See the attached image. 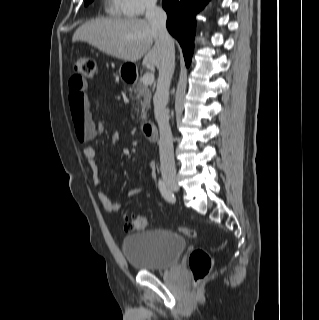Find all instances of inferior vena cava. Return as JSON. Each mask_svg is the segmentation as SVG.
I'll use <instances>...</instances> for the list:
<instances>
[{
    "label": "inferior vena cava",
    "instance_id": "inferior-vena-cava-1",
    "mask_svg": "<svg viewBox=\"0 0 319 320\" xmlns=\"http://www.w3.org/2000/svg\"><path fill=\"white\" fill-rule=\"evenodd\" d=\"M166 12L156 5V0H151L147 5L146 19L157 32L162 44V60L158 68L159 77L157 89L153 98L155 119L159 126V154L160 170L163 176L176 175L173 139L169 125V117L165 111L168 103L169 87L175 67L174 42L166 29Z\"/></svg>",
    "mask_w": 319,
    "mask_h": 320
}]
</instances>
